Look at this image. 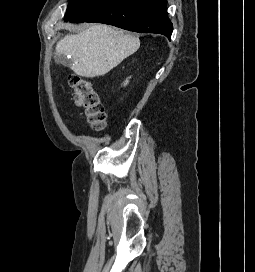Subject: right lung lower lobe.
<instances>
[{"instance_id":"98d812e1","label":"right lung lower lobe","mask_w":255,"mask_h":272,"mask_svg":"<svg viewBox=\"0 0 255 272\" xmlns=\"http://www.w3.org/2000/svg\"><path fill=\"white\" fill-rule=\"evenodd\" d=\"M167 0H90L65 21L98 22L139 33H159L171 38Z\"/></svg>"}]
</instances>
